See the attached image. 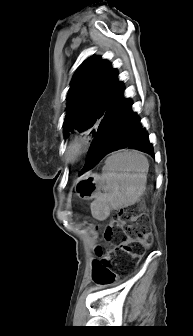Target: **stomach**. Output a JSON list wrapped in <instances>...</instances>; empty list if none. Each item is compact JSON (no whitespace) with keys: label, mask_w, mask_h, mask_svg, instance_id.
<instances>
[{"label":"stomach","mask_w":193,"mask_h":336,"mask_svg":"<svg viewBox=\"0 0 193 336\" xmlns=\"http://www.w3.org/2000/svg\"><path fill=\"white\" fill-rule=\"evenodd\" d=\"M103 179L98 174H87L76 182L77 195L84 200H92L100 194L103 187Z\"/></svg>","instance_id":"obj_1"}]
</instances>
